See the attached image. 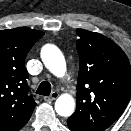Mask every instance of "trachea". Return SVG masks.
<instances>
[{
  "instance_id": "trachea-1",
  "label": "trachea",
  "mask_w": 131,
  "mask_h": 131,
  "mask_svg": "<svg viewBox=\"0 0 131 131\" xmlns=\"http://www.w3.org/2000/svg\"><path fill=\"white\" fill-rule=\"evenodd\" d=\"M51 89H52L51 84L47 81H43L38 86L36 93L39 95L49 96L51 93Z\"/></svg>"
}]
</instances>
